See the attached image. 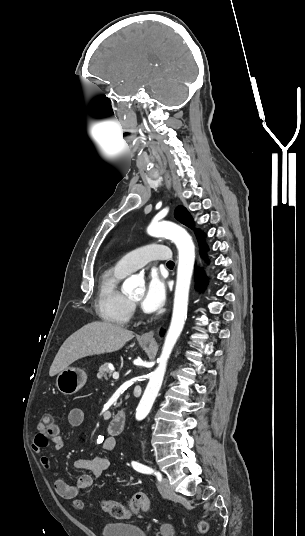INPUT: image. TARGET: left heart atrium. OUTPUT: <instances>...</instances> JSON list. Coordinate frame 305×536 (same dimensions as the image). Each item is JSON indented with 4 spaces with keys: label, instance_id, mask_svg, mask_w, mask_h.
Masks as SVG:
<instances>
[{
    "label": "left heart atrium",
    "instance_id": "obj_1",
    "mask_svg": "<svg viewBox=\"0 0 305 536\" xmlns=\"http://www.w3.org/2000/svg\"><path fill=\"white\" fill-rule=\"evenodd\" d=\"M165 299V286L162 279L152 272L147 280L145 294L141 306L146 312H154L159 309Z\"/></svg>",
    "mask_w": 305,
    "mask_h": 536
}]
</instances>
